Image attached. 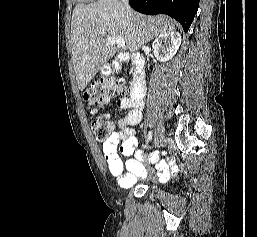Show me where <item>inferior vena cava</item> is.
I'll use <instances>...</instances> for the list:
<instances>
[{
  "mask_svg": "<svg viewBox=\"0 0 257 237\" xmlns=\"http://www.w3.org/2000/svg\"><path fill=\"white\" fill-rule=\"evenodd\" d=\"M122 3L124 4L126 10L130 12V6H129V1L128 0H122Z\"/></svg>",
  "mask_w": 257,
  "mask_h": 237,
  "instance_id": "inferior-vena-cava-1",
  "label": "inferior vena cava"
}]
</instances>
